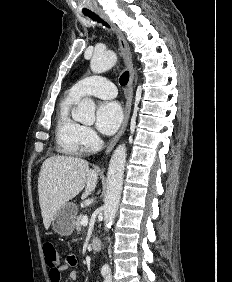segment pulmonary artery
<instances>
[{
    "label": "pulmonary artery",
    "instance_id": "pulmonary-artery-1",
    "mask_svg": "<svg viewBox=\"0 0 232 282\" xmlns=\"http://www.w3.org/2000/svg\"><path fill=\"white\" fill-rule=\"evenodd\" d=\"M68 93L76 99L87 95L112 99L116 97L117 89L111 81L103 77L90 76L77 82Z\"/></svg>",
    "mask_w": 232,
    "mask_h": 282
}]
</instances>
